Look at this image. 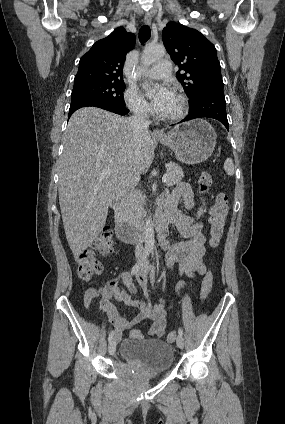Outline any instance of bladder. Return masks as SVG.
Returning <instances> with one entry per match:
<instances>
[{"mask_svg": "<svg viewBox=\"0 0 285 424\" xmlns=\"http://www.w3.org/2000/svg\"><path fill=\"white\" fill-rule=\"evenodd\" d=\"M120 355L125 363H131L141 370L153 374H164L173 365V347L163 340L137 339L124 341Z\"/></svg>", "mask_w": 285, "mask_h": 424, "instance_id": "1", "label": "bladder"}]
</instances>
